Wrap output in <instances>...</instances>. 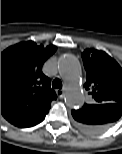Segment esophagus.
<instances>
[{"instance_id": "34e87169", "label": "esophagus", "mask_w": 122, "mask_h": 154, "mask_svg": "<svg viewBox=\"0 0 122 154\" xmlns=\"http://www.w3.org/2000/svg\"><path fill=\"white\" fill-rule=\"evenodd\" d=\"M56 94L59 98H63L64 97V91L61 89H57L56 90Z\"/></svg>"}]
</instances>
